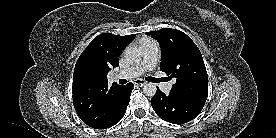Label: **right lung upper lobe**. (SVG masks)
Returning a JSON list of instances; mask_svg holds the SVG:
<instances>
[{
  "label": "right lung upper lobe",
  "instance_id": "obj_1",
  "mask_svg": "<svg viewBox=\"0 0 276 138\" xmlns=\"http://www.w3.org/2000/svg\"><path fill=\"white\" fill-rule=\"evenodd\" d=\"M135 34L96 36L78 58L73 74V104L78 116L96 128L107 123L116 110L122 85H108L107 74L119 65L118 57Z\"/></svg>",
  "mask_w": 276,
  "mask_h": 138
}]
</instances>
